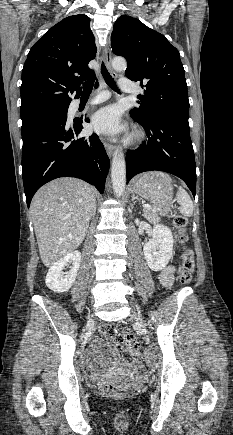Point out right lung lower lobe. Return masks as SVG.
Returning a JSON list of instances; mask_svg holds the SVG:
<instances>
[{
	"instance_id": "obj_1",
	"label": "right lung lower lobe",
	"mask_w": 233,
	"mask_h": 435,
	"mask_svg": "<svg viewBox=\"0 0 233 435\" xmlns=\"http://www.w3.org/2000/svg\"><path fill=\"white\" fill-rule=\"evenodd\" d=\"M82 122L83 118L69 123L65 117H52L22 128V175L28 208L35 192L58 177L80 178L103 193L109 158L96 134L74 139L83 129Z\"/></svg>"
}]
</instances>
